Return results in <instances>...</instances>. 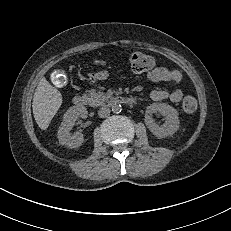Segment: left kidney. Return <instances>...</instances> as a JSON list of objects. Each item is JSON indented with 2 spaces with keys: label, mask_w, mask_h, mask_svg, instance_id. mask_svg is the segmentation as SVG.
<instances>
[{
  "label": "left kidney",
  "mask_w": 231,
  "mask_h": 231,
  "mask_svg": "<svg viewBox=\"0 0 231 231\" xmlns=\"http://www.w3.org/2000/svg\"><path fill=\"white\" fill-rule=\"evenodd\" d=\"M159 112L165 116V123L161 126L156 124L150 117L152 113ZM178 112L166 103H153L146 109L145 124L148 129L158 138L172 136L179 129Z\"/></svg>",
  "instance_id": "obj_1"
}]
</instances>
